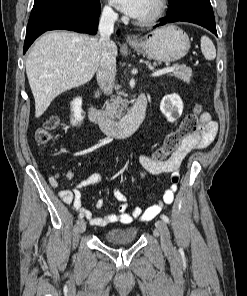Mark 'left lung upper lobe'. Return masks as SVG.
I'll use <instances>...</instances> for the list:
<instances>
[{
	"instance_id": "1",
	"label": "left lung upper lobe",
	"mask_w": 247,
	"mask_h": 296,
	"mask_svg": "<svg viewBox=\"0 0 247 296\" xmlns=\"http://www.w3.org/2000/svg\"><path fill=\"white\" fill-rule=\"evenodd\" d=\"M186 0H169L170 8L169 10H174L177 7L181 6Z\"/></svg>"
}]
</instances>
